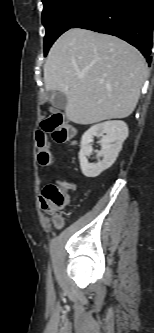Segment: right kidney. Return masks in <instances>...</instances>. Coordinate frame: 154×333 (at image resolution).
I'll use <instances>...</instances> for the list:
<instances>
[{
    "mask_svg": "<svg viewBox=\"0 0 154 333\" xmlns=\"http://www.w3.org/2000/svg\"><path fill=\"white\" fill-rule=\"evenodd\" d=\"M128 133V127L123 121H106L89 128L81 138L79 161L82 173L86 177L93 178L111 167L116 161ZM94 136L100 137L99 143L102 148L98 157H102V160L89 163L87 157L93 152L91 143Z\"/></svg>",
    "mask_w": 154,
    "mask_h": 333,
    "instance_id": "obj_1",
    "label": "right kidney"
}]
</instances>
